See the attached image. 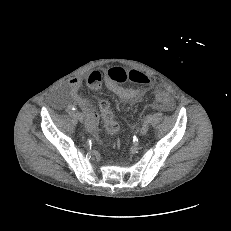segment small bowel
<instances>
[{
  "instance_id": "1",
  "label": "small bowel",
  "mask_w": 231,
  "mask_h": 231,
  "mask_svg": "<svg viewBox=\"0 0 231 231\" xmlns=\"http://www.w3.org/2000/svg\"><path fill=\"white\" fill-rule=\"evenodd\" d=\"M97 79L99 80V85L96 84ZM104 81L107 88L113 92L120 100L124 103H132L138 101L143 96V91L139 88H125L119 84H112L108 78V75H104ZM102 82V76L99 72H92L88 79L87 84L90 89L97 90L100 88ZM81 86V80L77 77L71 78L66 85V93L71 97V99L81 107L86 116V127L87 129L97 135L99 115L92 105L91 102L83 98L79 94V88Z\"/></svg>"
}]
</instances>
